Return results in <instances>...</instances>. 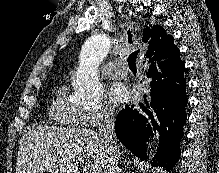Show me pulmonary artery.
Here are the masks:
<instances>
[{"instance_id": "pulmonary-artery-1", "label": "pulmonary artery", "mask_w": 219, "mask_h": 173, "mask_svg": "<svg viewBox=\"0 0 219 173\" xmlns=\"http://www.w3.org/2000/svg\"><path fill=\"white\" fill-rule=\"evenodd\" d=\"M102 74L108 79H119L126 76L127 69L122 66L121 60L116 59L103 67Z\"/></svg>"}]
</instances>
